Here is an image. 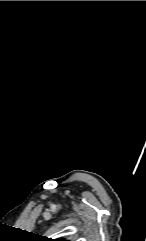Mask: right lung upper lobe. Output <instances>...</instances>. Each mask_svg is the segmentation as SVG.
Listing matches in <instances>:
<instances>
[{
  "instance_id": "right-lung-upper-lobe-1",
  "label": "right lung upper lobe",
  "mask_w": 146,
  "mask_h": 241,
  "mask_svg": "<svg viewBox=\"0 0 146 241\" xmlns=\"http://www.w3.org/2000/svg\"><path fill=\"white\" fill-rule=\"evenodd\" d=\"M52 241H66L64 239H51Z\"/></svg>"
}]
</instances>
